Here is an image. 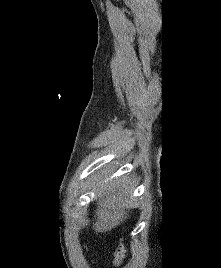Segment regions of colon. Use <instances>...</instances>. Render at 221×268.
<instances>
[{"instance_id":"colon-1","label":"colon","mask_w":221,"mask_h":268,"mask_svg":"<svg viewBox=\"0 0 221 268\" xmlns=\"http://www.w3.org/2000/svg\"><path fill=\"white\" fill-rule=\"evenodd\" d=\"M124 248L123 247H120L117 252H116V255H115V261L116 262H120L123 257H124Z\"/></svg>"}]
</instances>
